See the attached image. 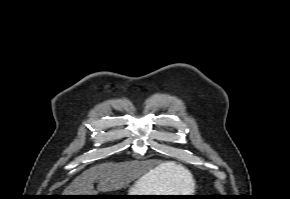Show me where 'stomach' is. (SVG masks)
I'll return each instance as SVG.
<instances>
[{
  "mask_svg": "<svg viewBox=\"0 0 290 199\" xmlns=\"http://www.w3.org/2000/svg\"><path fill=\"white\" fill-rule=\"evenodd\" d=\"M157 169L141 177L128 191L126 195H174L169 194L165 188V182L158 177ZM129 199H144L143 196H129Z\"/></svg>",
  "mask_w": 290,
  "mask_h": 199,
  "instance_id": "0dacf381",
  "label": "stomach"
}]
</instances>
